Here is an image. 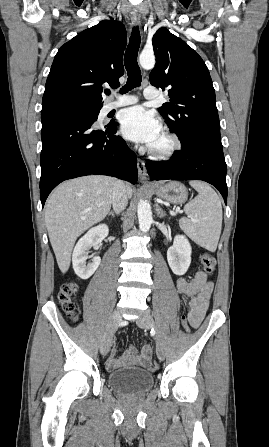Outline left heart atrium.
<instances>
[{
	"label": "left heart atrium",
	"mask_w": 269,
	"mask_h": 447,
	"mask_svg": "<svg viewBox=\"0 0 269 447\" xmlns=\"http://www.w3.org/2000/svg\"><path fill=\"white\" fill-rule=\"evenodd\" d=\"M121 134L132 141L150 145L162 132L160 118L141 106L123 110L119 115Z\"/></svg>",
	"instance_id": "obj_1"
}]
</instances>
